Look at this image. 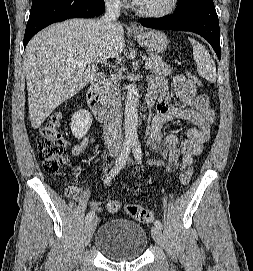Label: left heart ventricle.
Returning a JSON list of instances; mask_svg holds the SVG:
<instances>
[{"instance_id": "1", "label": "left heart ventricle", "mask_w": 253, "mask_h": 271, "mask_svg": "<svg viewBox=\"0 0 253 271\" xmlns=\"http://www.w3.org/2000/svg\"><path fill=\"white\" fill-rule=\"evenodd\" d=\"M170 0H138L137 5L146 10H160L169 4Z\"/></svg>"}]
</instances>
